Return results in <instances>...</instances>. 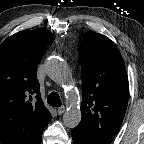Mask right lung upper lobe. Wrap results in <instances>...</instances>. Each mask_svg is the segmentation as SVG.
I'll return each instance as SVG.
<instances>
[{
	"mask_svg": "<svg viewBox=\"0 0 144 144\" xmlns=\"http://www.w3.org/2000/svg\"><path fill=\"white\" fill-rule=\"evenodd\" d=\"M46 29L24 30L0 45V143L39 144L51 115L36 79L45 45L53 42Z\"/></svg>",
	"mask_w": 144,
	"mask_h": 144,
	"instance_id": "obj_1",
	"label": "right lung upper lobe"
}]
</instances>
